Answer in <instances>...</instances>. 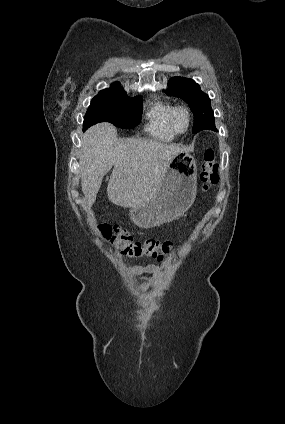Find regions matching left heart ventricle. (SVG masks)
<instances>
[{"mask_svg": "<svg viewBox=\"0 0 285 424\" xmlns=\"http://www.w3.org/2000/svg\"><path fill=\"white\" fill-rule=\"evenodd\" d=\"M176 125L180 130H183L186 128L187 125V118L186 115L182 112L178 113L176 116Z\"/></svg>", "mask_w": 285, "mask_h": 424, "instance_id": "left-heart-ventricle-1", "label": "left heart ventricle"}]
</instances>
